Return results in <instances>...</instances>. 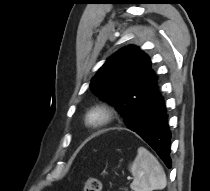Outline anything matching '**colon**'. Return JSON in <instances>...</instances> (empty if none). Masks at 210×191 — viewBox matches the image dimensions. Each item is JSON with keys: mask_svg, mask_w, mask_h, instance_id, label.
<instances>
[{"mask_svg": "<svg viewBox=\"0 0 210 191\" xmlns=\"http://www.w3.org/2000/svg\"><path fill=\"white\" fill-rule=\"evenodd\" d=\"M101 181L93 176L86 177L83 181V191H101Z\"/></svg>", "mask_w": 210, "mask_h": 191, "instance_id": "5ec220e1", "label": "colon"}]
</instances>
